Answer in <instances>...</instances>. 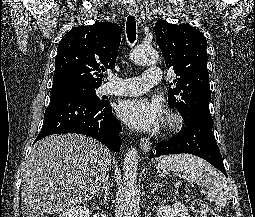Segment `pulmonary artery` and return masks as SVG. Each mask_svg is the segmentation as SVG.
<instances>
[{
  "instance_id": "1",
  "label": "pulmonary artery",
  "mask_w": 255,
  "mask_h": 217,
  "mask_svg": "<svg viewBox=\"0 0 255 217\" xmlns=\"http://www.w3.org/2000/svg\"><path fill=\"white\" fill-rule=\"evenodd\" d=\"M109 83L104 87L108 95L135 96L145 93L161 80V70L158 67L148 68L142 75L121 78L114 75L108 77Z\"/></svg>"
}]
</instances>
